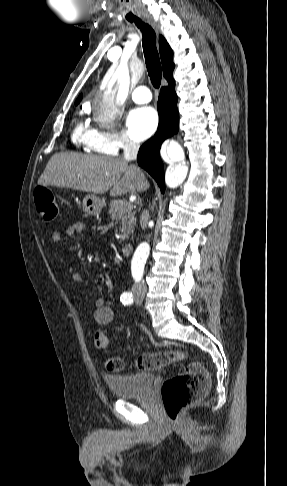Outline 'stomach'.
Masks as SVG:
<instances>
[{"instance_id": "stomach-1", "label": "stomach", "mask_w": 287, "mask_h": 486, "mask_svg": "<svg viewBox=\"0 0 287 486\" xmlns=\"http://www.w3.org/2000/svg\"><path fill=\"white\" fill-rule=\"evenodd\" d=\"M104 206L105 202L94 194H88L83 198V210L87 214H98Z\"/></svg>"}]
</instances>
